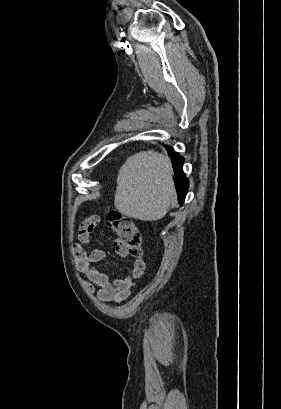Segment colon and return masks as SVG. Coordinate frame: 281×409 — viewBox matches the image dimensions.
I'll use <instances>...</instances> for the list:
<instances>
[{"instance_id":"colon-1","label":"colon","mask_w":281,"mask_h":409,"mask_svg":"<svg viewBox=\"0 0 281 409\" xmlns=\"http://www.w3.org/2000/svg\"><path fill=\"white\" fill-rule=\"evenodd\" d=\"M105 218L107 226L114 231L116 239L127 253L142 255V236L133 219L118 210L111 209L105 211Z\"/></svg>"}]
</instances>
